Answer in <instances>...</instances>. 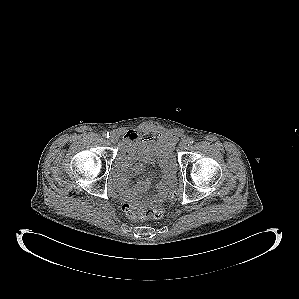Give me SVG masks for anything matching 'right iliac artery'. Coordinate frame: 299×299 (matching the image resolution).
<instances>
[{
	"label": "right iliac artery",
	"instance_id": "82829eb1",
	"mask_svg": "<svg viewBox=\"0 0 299 299\" xmlns=\"http://www.w3.org/2000/svg\"><path fill=\"white\" fill-rule=\"evenodd\" d=\"M103 137H105V138H109L110 136H109V133L108 132H103Z\"/></svg>",
	"mask_w": 299,
	"mask_h": 299
}]
</instances>
